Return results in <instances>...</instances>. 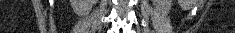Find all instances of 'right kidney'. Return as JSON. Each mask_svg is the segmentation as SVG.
I'll use <instances>...</instances> for the list:
<instances>
[{"label":"right kidney","instance_id":"obj_1","mask_svg":"<svg viewBox=\"0 0 235 33\" xmlns=\"http://www.w3.org/2000/svg\"><path fill=\"white\" fill-rule=\"evenodd\" d=\"M97 0H71V5L77 14H84L91 10Z\"/></svg>","mask_w":235,"mask_h":33}]
</instances>
